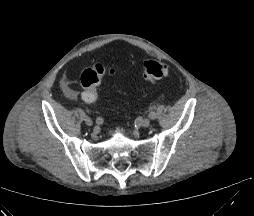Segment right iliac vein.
Wrapping results in <instances>:
<instances>
[{
  "mask_svg": "<svg viewBox=\"0 0 254 216\" xmlns=\"http://www.w3.org/2000/svg\"><path fill=\"white\" fill-rule=\"evenodd\" d=\"M84 122H85V124H86L87 126H93V121H92V119H90L89 117H86V118L84 119Z\"/></svg>",
  "mask_w": 254,
  "mask_h": 216,
  "instance_id": "obj_1",
  "label": "right iliac vein"
}]
</instances>
